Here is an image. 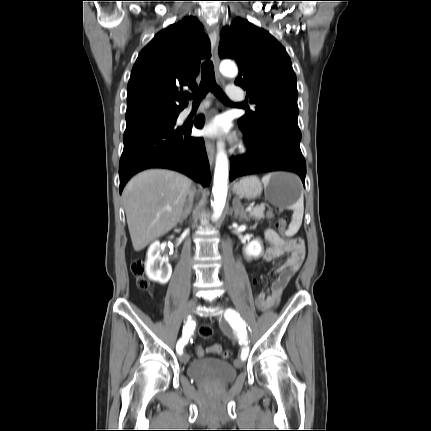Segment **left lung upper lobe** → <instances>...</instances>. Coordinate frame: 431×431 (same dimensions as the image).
<instances>
[{
    "label": "left lung upper lobe",
    "mask_w": 431,
    "mask_h": 431,
    "mask_svg": "<svg viewBox=\"0 0 431 431\" xmlns=\"http://www.w3.org/2000/svg\"><path fill=\"white\" fill-rule=\"evenodd\" d=\"M219 56L236 60L235 84L256 104L255 111L238 120L242 130L254 133L269 123L299 129L296 76L285 48L271 34L239 19L231 29H223Z\"/></svg>",
    "instance_id": "1"
}]
</instances>
